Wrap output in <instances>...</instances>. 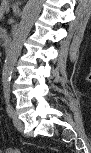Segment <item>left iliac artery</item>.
I'll return each instance as SVG.
<instances>
[{
  "label": "left iliac artery",
  "instance_id": "1",
  "mask_svg": "<svg viewBox=\"0 0 91 153\" xmlns=\"http://www.w3.org/2000/svg\"><path fill=\"white\" fill-rule=\"evenodd\" d=\"M5 101H6V110L10 117L14 116V109L12 105L10 104V95H9V89L6 88L5 90Z\"/></svg>",
  "mask_w": 91,
  "mask_h": 153
}]
</instances>
